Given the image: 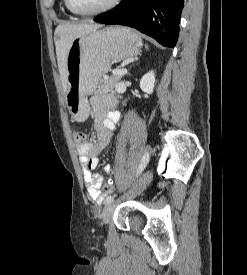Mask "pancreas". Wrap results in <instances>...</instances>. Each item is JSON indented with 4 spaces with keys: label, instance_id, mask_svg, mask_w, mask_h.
Returning a JSON list of instances; mask_svg holds the SVG:
<instances>
[{
    "label": "pancreas",
    "instance_id": "pancreas-1",
    "mask_svg": "<svg viewBox=\"0 0 247 275\" xmlns=\"http://www.w3.org/2000/svg\"><path fill=\"white\" fill-rule=\"evenodd\" d=\"M120 79L121 76H111L103 78L100 82V85L98 86L97 93L112 92Z\"/></svg>",
    "mask_w": 247,
    "mask_h": 275
}]
</instances>
